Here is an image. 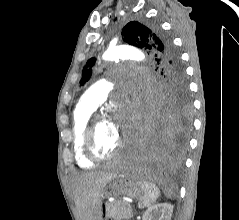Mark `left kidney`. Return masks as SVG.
<instances>
[{
  "instance_id": "5707ae66",
  "label": "left kidney",
  "mask_w": 239,
  "mask_h": 220,
  "mask_svg": "<svg viewBox=\"0 0 239 220\" xmlns=\"http://www.w3.org/2000/svg\"><path fill=\"white\" fill-rule=\"evenodd\" d=\"M173 205L159 203L148 207L143 214L142 220H171Z\"/></svg>"
}]
</instances>
